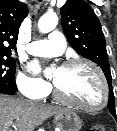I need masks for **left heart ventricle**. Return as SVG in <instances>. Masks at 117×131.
Returning a JSON list of instances; mask_svg holds the SVG:
<instances>
[{"label":"left heart ventricle","instance_id":"1","mask_svg":"<svg viewBox=\"0 0 117 131\" xmlns=\"http://www.w3.org/2000/svg\"><path fill=\"white\" fill-rule=\"evenodd\" d=\"M53 81L69 98L93 107L102 100V86L96 73L86 65L57 68Z\"/></svg>","mask_w":117,"mask_h":131}]
</instances>
